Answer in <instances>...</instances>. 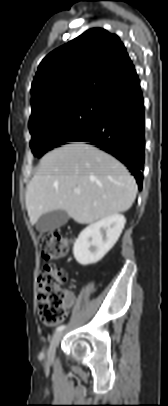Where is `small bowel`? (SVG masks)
Masks as SVG:
<instances>
[{"instance_id":"small-bowel-1","label":"small bowel","mask_w":168,"mask_h":406,"mask_svg":"<svg viewBox=\"0 0 168 406\" xmlns=\"http://www.w3.org/2000/svg\"><path fill=\"white\" fill-rule=\"evenodd\" d=\"M75 297L71 291H66L64 307L65 310H70L74 305Z\"/></svg>"}]
</instances>
